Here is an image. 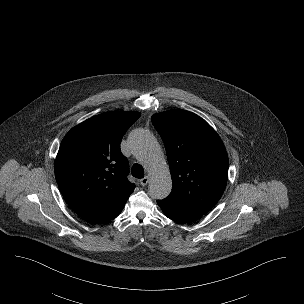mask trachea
<instances>
[{
  "label": "trachea",
  "mask_w": 304,
  "mask_h": 304,
  "mask_svg": "<svg viewBox=\"0 0 304 304\" xmlns=\"http://www.w3.org/2000/svg\"><path fill=\"white\" fill-rule=\"evenodd\" d=\"M132 176L135 178H143L144 177V170L140 164H134L131 169Z\"/></svg>",
  "instance_id": "1"
}]
</instances>
